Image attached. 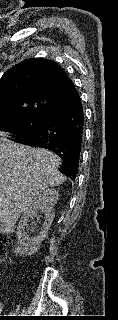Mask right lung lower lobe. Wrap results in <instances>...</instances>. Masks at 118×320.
<instances>
[{
	"label": "right lung lower lobe",
	"instance_id": "right-lung-lower-lobe-1",
	"mask_svg": "<svg viewBox=\"0 0 118 320\" xmlns=\"http://www.w3.org/2000/svg\"><path fill=\"white\" fill-rule=\"evenodd\" d=\"M84 112L79 95L53 108L42 127L15 142L51 150L62 160L60 172L75 179L82 146Z\"/></svg>",
	"mask_w": 118,
	"mask_h": 320
}]
</instances>
